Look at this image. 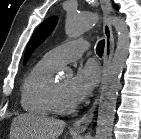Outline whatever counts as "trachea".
I'll use <instances>...</instances> for the list:
<instances>
[{
	"mask_svg": "<svg viewBox=\"0 0 141 139\" xmlns=\"http://www.w3.org/2000/svg\"><path fill=\"white\" fill-rule=\"evenodd\" d=\"M104 46H105V41H104V40H101V41L97 44L96 53H97V55L100 56V57L103 55Z\"/></svg>",
	"mask_w": 141,
	"mask_h": 139,
	"instance_id": "1",
	"label": "trachea"
}]
</instances>
